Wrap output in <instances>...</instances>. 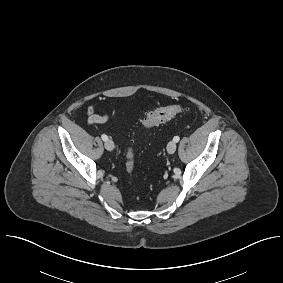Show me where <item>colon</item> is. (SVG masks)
Instances as JSON below:
<instances>
[{"instance_id": "5ec220e1", "label": "colon", "mask_w": 283, "mask_h": 283, "mask_svg": "<svg viewBox=\"0 0 283 283\" xmlns=\"http://www.w3.org/2000/svg\"><path fill=\"white\" fill-rule=\"evenodd\" d=\"M183 111V107L180 105H169L165 107L158 108L149 112L142 121V125L146 128L154 127L162 124L174 116ZM135 168V157L132 151L128 152L126 161V170L128 173L134 171Z\"/></svg>"}]
</instances>
